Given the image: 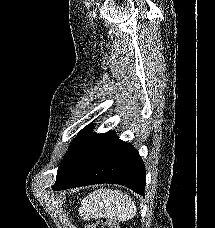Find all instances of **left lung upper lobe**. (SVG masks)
I'll return each mask as SVG.
<instances>
[{
  "label": "left lung upper lobe",
  "mask_w": 215,
  "mask_h": 228,
  "mask_svg": "<svg viewBox=\"0 0 215 228\" xmlns=\"http://www.w3.org/2000/svg\"><path fill=\"white\" fill-rule=\"evenodd\" d=\"M93 125L86 127L84 130L80 131L77 137L73 140L67 154L64 157L63 162L61 163L58 171L63 167L68 158L72 153L78 148V146L92 133Z\"/></svg>",
  "instance_id": "obj_1"
}]
</instances>
